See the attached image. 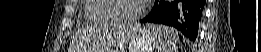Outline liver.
<instances>
[{
    "label": "liver",
    "mask_w": 261,
    "mask_h": 52,
    "mask_svg": "<svg viewBox=\"0 0 261 52\" xmlns=\"http://www.w3.org/2000/svg\"><path fill=\"white\" fill-rule=\"evenodd\" d=\"M127 28H133L132 26H127ZM125 34L124 31L120 29H111L106 32V34L103 37L102 44V50H108L112 47H116L119 44L120 36H123Z\"/></svg>",
    "instance_id": "obj_1"
}]
</instances>
